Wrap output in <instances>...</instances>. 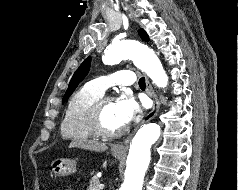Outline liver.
<instances>
[{"label":"liver","instance_id":"obj_1","mask_svg":"<svg viewBox=\"0 0 238 190\" xmlns=\"http://www.w3.org/2000/svg\"><path fill=\"white\" fill-rule=\"evenodd\" d=\"M81 148L89 151L103 152L108 149L107 145L104 143H99L97 141L91 140H73L69 144V148Z\"/></svg>","mask_w":238,"mask_h":190}]
</instances>
